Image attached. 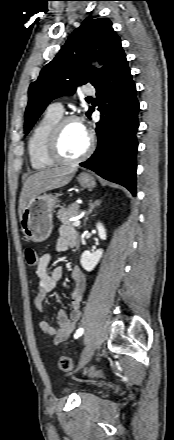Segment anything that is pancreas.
I'll list each match as a JSON object with an SVG mask.
<instances>
[{
  "mask_svg": "<svg viewBox=\"0 0 174 440\" xmlns=\"http://www.w3.org/2000/svg\"><path fill=\"white\" fill-rule=\"evenodd\" d=\"M79 215V205L74 203L68 208H61L57 212V218L61 223L72 226L73 222L69 219Z\"/></svg>",
  "mask_w": 174,
  "mask_h": 440,
  "instance_id": "pancreas-1",
  "label": "pancreas"
}]
</instances>
